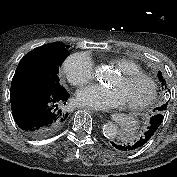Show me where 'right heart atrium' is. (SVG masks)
Segmentation results:
<instances>
[{"mask_svg": "<svg viewBox=\"0 0 177 177\" xmlns=\"http://www.w3.org/2000/svg\"><path fill=\"white\" fill-rule=\"evenodd\" d=\"M62 70L68 81L74 86H81L94 76L92 59L86 53H75L67 57Z\"/></svg>", "mask_w": 177, "mask_h": 177, "instance_id": "1", "label": "right heart atrium"}]
</instances>
